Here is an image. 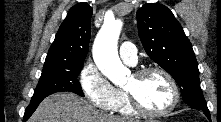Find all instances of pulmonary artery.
<instances>
[{"mask_svg":"<svg viewBox=\"0 0 221 122\" xmlns=\"http://www.w3.org/2000/svg\"><path fill=\"white\" fill-rule=\"evenodd\" d=\"M119 55L125 63L131 66H134L138 61L137 49L135 45L129 41L123 42L120 45Z\"/></svg>","mask_w":221,"mask_h":122,"instance_id":"1","label":"pulmonary artery"}]
</instances>
